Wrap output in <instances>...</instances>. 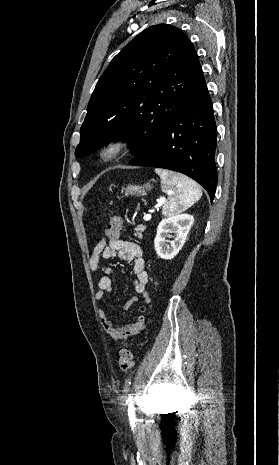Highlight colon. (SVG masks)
<instances>
[{
	"instance_id": "1",
	"label": "colon",
	"mask_w": 279,
	"mask_h": 465,
	"mask_svg": "<svg viewBox=\"0 0 279 465\" xmlns=\"http://www.w3.org/2000/svg\"><path fill=\"white\" fill-rule=\"evenodd\" d=\"M109 224L105 230V234L110 239H117L123 228V220L120 216L108 211ZM116 360L119 367L124 370H130L134 365L133 354L127 345L120 347L116 354Z\"/></svg>"
}]
</instances>
